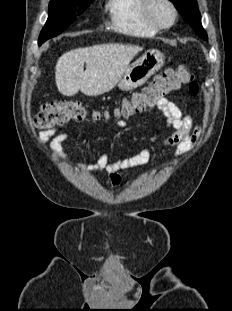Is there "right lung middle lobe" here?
Instances as JSON below:
<instances>
[{"label":"right lung middle lobe","mask_w":232,"mask_h":311,"mask_svg":"<svg viewBox=\"0 0 232 311\" xmlns=\"http://www.w3.org/2000/svg\"><path fill=\"white\" fill-rule=\"evenodd\" d=\"M94 0H51L49 3V16L42 29L38 44L57 36L68 27L78 15Z\"/></svg>","instance_id":"dd1d6c3e"}]
</instances>
